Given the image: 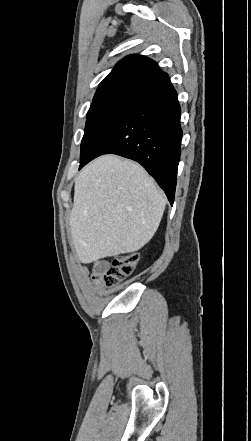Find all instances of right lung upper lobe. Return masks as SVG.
<instances>
[{
	"mask_svg": "<svg viewBox=\"0 0 251 441\" xmlns=\"http://www.w3.org/2000/svg\"><path fill=\"white\" fill-rule=\"evenodd\" d=\"M168 78L152 59L129 55L100 83L92 103L117 98L138 100Z\"/></svg>",
	"mask_w": 251,
	"mask_h": 441,
	"instance_id": "right-lung-upper-lobe-1",
	"label": "right lung upper lobe"
}]
</instances>
